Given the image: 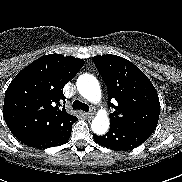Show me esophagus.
Segmentation results:
<instances>
[{
  "label": "esophagus",
  "instance_id": "esophagus-1",
  "mask_svg": "<svg viewBox=\"0 0 182 182\" xmlns=\"http://www.w3.org/2000/svg\"><path fill=\"white\" fill-rule=\"evenodd\" d=\"M87 116V118L92 119L94 117V113L93 112H89L85 114Z\"/></svg>",
  "mask_w": 182,
  "mask_h": 182
}]
</instances>
